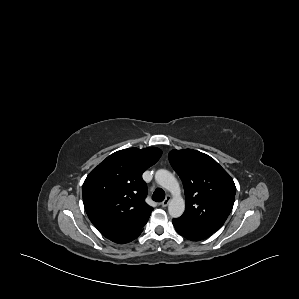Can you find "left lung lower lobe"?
Segmentation results:
<instances>
[{"instance_id":"left-lung-lower-lobe-1","label":"left lung lower lobe","mask_w":299,"mask_h":299,"mask_svg":"<svg viewBox=\"0 0 299 299\" xmlns=\"http://www.w3.org/2000/svg\"><path fill=\"white\" fill-rule=\"evenodd\" d=\"M173 225L181 236L192 240L199 241L208 238L212 233L202 229L189 226L188 223L180 218L173 219Z\"/></svg>"}]
</instances>
